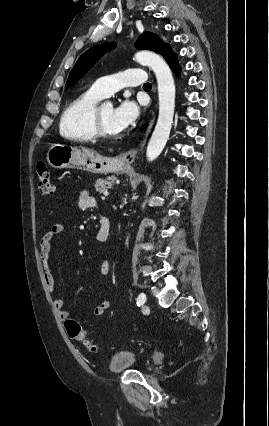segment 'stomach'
Masks as SVG:
<instances>
[{
  "label": "stomach",
  "instance_id": "1",
  "mask_svg": "<svg viewBox=\"0 0 269 426\" xmlns=\"http://www.w3.org/2000/svg\"><path fill=\"white\" fill-rule=\"evenodd\" d=\"M47 164L55 169L76 168L91 173H124L129 168L119 158H106L84 147L51 144L46 154Z\"/></svg>",
  "mask_w": 269,
  "mask_h": 426
}]
</instances>
